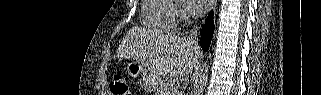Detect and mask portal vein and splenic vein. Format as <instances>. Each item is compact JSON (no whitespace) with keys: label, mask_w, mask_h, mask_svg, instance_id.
Listing matches in <instances>:
<instances>
[{"label":"portal vein and splenic vein","mask_w":321,"mask_h":95,"mask_svg":"<svg viewBox=\"0 0 321 95\" xmlns=\"http://www.w3.org/2000/svg\"><path fill=\"white\" fill-rule=\"evenodd\" d=\"M173 84H174L177 88H179V87H180L179 82H177L176 80H173Z\"/></svg>","instance_id":"18ae733b"}]
</instances>
